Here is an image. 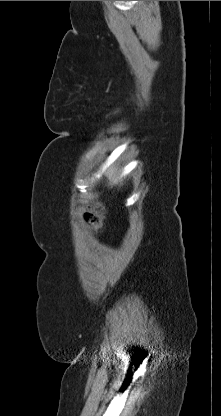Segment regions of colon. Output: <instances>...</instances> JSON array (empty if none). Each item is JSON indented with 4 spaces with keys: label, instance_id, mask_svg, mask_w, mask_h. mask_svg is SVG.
I'll use <instances>...</instances> for the list:
<instances>
[{
    "label": "colon",
    "instance_id": "colon-1",
    "mask_svg": "<svg viewBox=\"0 0 221 416\" xmlns=\"http://www.w3.org/2000/svg\"><path fill=\"white\" fill-rule=\"evenodd\" d=\"M84 220L94 230L99 229L104 220L103 206L99 202L90 204L84 213Z\"/></svg>",
    "mask_w": 221,
    "mask_h": 416
}]
</instances>
